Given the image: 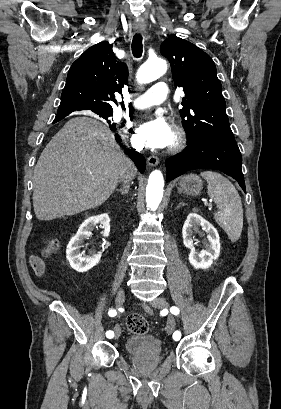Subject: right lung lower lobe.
Listing matches in <instances>:
<instances>
[{
	"mask_svg": "<svg viewBox=\"0 0 281 409\" xmlns=\"http://www.w3.org/2000/svg\"><path fill=\"white\" fill-rule=\"evenodd\" d=\"M68 114H70V112L57 113V115L55 117V120H54V123L61 120V119H63ZM116 140L119 143L121 142V139H120V137L118 135H116ZM129 155H130L131 159L135 162V164H136L137 168L139 169V171L141 173H143L145 171V167H146L144 157L141 154H139V153H137V152H135L133 150H129Z\"/></svg>",
	"mask_w": 281,
	"mask_h": 409,
	"instance_id": "obj_1",
	"label": "right lung lower lobe"
}]
</instances>
